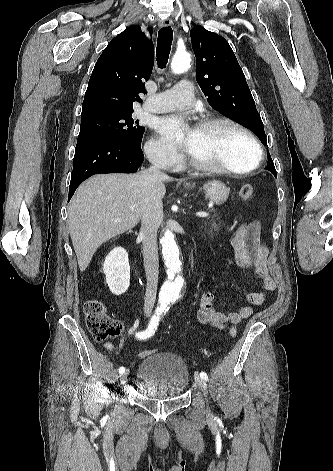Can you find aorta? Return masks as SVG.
I'll return each mask as SVG.
<instances>
[{"label": "aorta", "mask_w": 333, "mask_h": 471, "mask_svg": "<svg viewBox=\"0 0 333 471\" xmlns=\"http://www.w3.org/2000/svg\"><path fill=\"white\" fill-rule=\"evenodd\" d=\"M190 54L187 52L177 53L171 62V69L175 74L185 72L190 65ZM182 137L178 135V139ZM162 254L167 267L168 280L162 285L159 293L160 306L165 308L171 299L178 298L184 284L181 276L182 262L180 252L174 238V234L166 229L161 237Z\"/></svg>", "instance_id": "1"}]
</instances>
